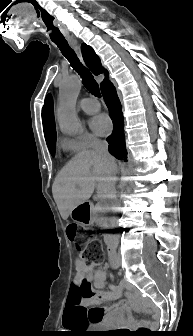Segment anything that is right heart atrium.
Listing matches in <instances>:
<instances>
[{"instance_id":"right-heart-atrium-1","label":"right heart atrium","mask_w":193,"mask_h":336,"mask_svg":"<svg viewBox=\"0 0 193 336\" xmlns=\"http://www.w3.org/2000/svg\"><path fill=\"white\" fill-rule=\"evenodd\" d=\"M99 142L98 138L86 131L80 132L72 138H66L63 141L64 147L73 152H83Z\"/></svg>"}]
</instances>
